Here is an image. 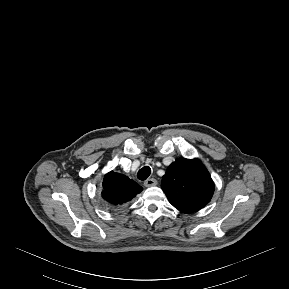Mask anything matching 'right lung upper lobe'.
Masks as SVG:
<instances>
[{"label":"right lung upper lobe","mask_w":289,"mask_h":289,"mask_svg":"<svg viewBox=\"0 0 289 289\" xmlns=\"http://www.w3.org/2000/svg\"><path fill=\"white\" fill-rule=\"evenodd\" d=\"M141 191V186L123 174L111 171L104 177L102 196L113 205L130 201Z\"/></svg>","instance_id":"cb5924a9"}]
</instances>
